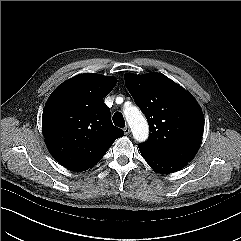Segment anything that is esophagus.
<instances>
[{"label":"esophagus","mask_w":241,"mask_h":241,"mask_svg":"<svg viewBox=\"0 0 241 241\" xmlns=\"http://www.w3.org/2000/svg\"><path fill=\"white\" fill-rule=\"evenodd\" d=\"M125 135H128L130 133V128L129 126H125L124 129H123Z\"/></svg>","instance_id":"34e87169"}]
</instances>
